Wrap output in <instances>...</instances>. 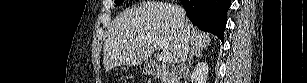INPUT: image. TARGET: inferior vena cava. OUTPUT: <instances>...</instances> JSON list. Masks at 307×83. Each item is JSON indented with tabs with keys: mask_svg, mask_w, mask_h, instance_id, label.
<instances>
[{
	"mask_svg": "<svg viewBox=\"0 0 307 83\" xmlns=\"http://www.w3.org/2000/svg\"><path fill=\"white\" fill-rule=\"evenodd\" d=\"M178 12L181 15V17L183 18V20L185 21V18H186L185 10L182 7L178 6ZM189 51H190L189 43H188L187 39L185 37H183L182 43H181V46H180V49H179V55H178V60H179V62L181 63L182 66L185 65Z\"/></svg>",
	"mask_w": 307,
	"mask_h": 83,
	"instance_id": "inferior-vena-cava-1",
	"label": "inferior vena cava"
}]
</instances>
